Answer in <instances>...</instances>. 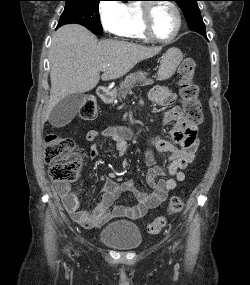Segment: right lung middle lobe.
I'll return each instance as SVG.
<instances>
[{
    "label": "right lung middle lobe",
    "instance_id": "dd1d6c3e",
    "mask_svg": "<svg viewBox=\"0 0 250 285\" xmlns=\"http://www.w3.org/2000/svg\"><path fill=\"white\" fill-rule=\"evenodd\" d=\"M66 6L58 23V27L67 23L85 26L94 34L102 33L99 19V2L101 0H64Z\"/></svg>",
    "mask_w": 250,
    "mask_h": 285
}]
</instances>
